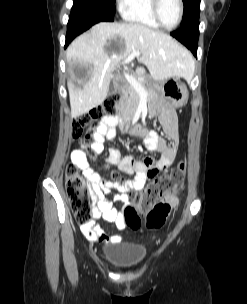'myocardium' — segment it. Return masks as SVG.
<instances>
[{
	"mask_svg": "<svg viewBox=\"0 0 247 304\" xmlns=\"http://www.w3.org/2000/svg\"><path fill=\"white\" fill-rule=\"evenodd\" d=\"M151 1H152L153 16H154L156 22L158 23V25L161 28L166 29V30H173L181 24L182 19H183V15H184V2H183V0H178V3H179V17H178V20H177L176 24L172 27L165 26L161 21V18H160L161 0H151Z\"/></svg>",
	"mask_w": 247,
	"mask_h": 304,
	"instance_id": "myocardium-1",
	"label": "myocardium"
}]
</instances>
